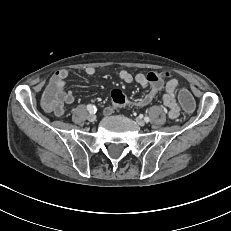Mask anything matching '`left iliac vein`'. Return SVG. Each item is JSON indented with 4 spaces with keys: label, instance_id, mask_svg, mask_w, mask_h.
I'll return each instance as SVG.
<instances>
[{
    "label": "left iliac vein",
    "instance_id": "obj_1",
    "mask_svg": "<svg viewBox=\"0 0 231 231\" xmlns=\"http://www.w3.org/2000/svg\"><path fill=\"white\" fill-rule=\"evenodd\" d=\"M136 122L140 126H144L145 125V121L141 117H137L136 118Z\"/></svg>",
    "mask_w": 231,
    "mask_h": 231
}]
</instances>
